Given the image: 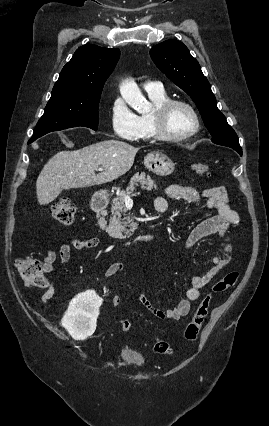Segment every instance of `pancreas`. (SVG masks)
I'll return each instance as SVG.
<instances>
[{
	"label": "pancreas",
	"mask_w": 269,
	"mask_h": 426,
	"mask_svg": "<svg viewBox=\"0 0 269 426\" xmlns=\"http://www.w3.org/2000/svg\"><path fill=\"white\" fill-rule=\"evenodd\" d=\"M139 184L141 185L142 189H146L149 191L153 188L157 189L155 181L152 180L149 175L146 176L144 172L141 174L136 173L135 175H133L128 187L126 188V191L121 192L117 197L112 200V216L106 228V232L111 237L124 239L126 238V236H132L135 232L136 223H134L133 220L125 214L126 208L124 198L125 196H129L135 190V187ZM122 216L124 217L122 218Z\"/></svg>",
	"instance_id": "1"
}]
</instances>
